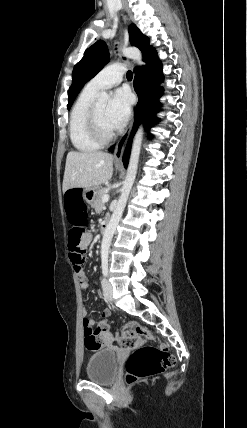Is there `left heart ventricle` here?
Here are the masks:
<instances>
[{"mask_svg": "<svg viewBox=\"0 0 247 428\" xmlns=\"http://www.w3.org/2000/svg\"><path fill=\"white\" fill-rule=\"evenodd\" d=\"M107 107H108L107 103H98L97 104L98 123H99L101 130L106 134L114 131V129L110 126V124L107 120V115H106Z\"/></svg>", "mask_w": 247, "mask_h": 428, "instance_id": "left-heart-ventricle-1", "label": "left heart ventricle"}]
</instances>
